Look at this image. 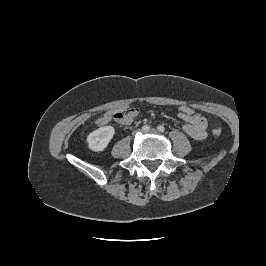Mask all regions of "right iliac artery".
<instances>
[{"mask_svg":"<svg viewBox=\"0 0 266 266\" xmlns=\"http://www.w3.org/2000/svg\"><path fill=\"white\" fill-rule=\"evenodd\" d=\"M142 130H143L144 132H148V131L150 130V126H149V125H144V126L142 127Z\"/></svg>","mask_w":266,"mask_h":266,"instance_id":"right-iliac-artery-1","label":"right iliac artery"}]
</instances>
